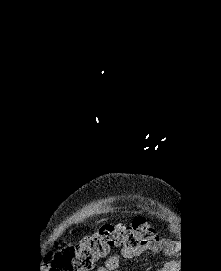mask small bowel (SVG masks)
<instances>
[{
  "instance_id": "obj_1",
  "label": "small bowel",
  "mask_w": 221,
  "mask_h": 271,
  "mask_svg": "<svg viewBox=\"0 0 221 271\" xmlns=\"http://www.w3.org/2000/svg\"><path fill=\"white\" fill-rule=\"evenodd\" d=\"M170 243L167 240L156 239L155 241L138 249H122L121 252L112 254L97 271H116L122 259H131L144 253H160L168 251Z\"/></svg>"
}]
</instances>
